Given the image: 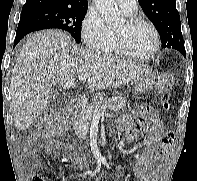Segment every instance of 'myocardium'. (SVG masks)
Here are the masks:
<instances>
[{
  "mask_svg": "<svg viewBox=\"0 0 197 181\" xmlns=\"http://www.w3.org/2000/svg\"><path fill=\"white\" fill-rule=\"evenodd\" d=\"M125 21H126L128 26H134V25H137V24L147 25L152 30V32L154 34L155 45H154L153 50L149 54H146V55L136 54L128 48V46H127L124 38L122 37V35L115 31L114 32V39H115V44L117 46L118 51L122 55H124L128 58H131V59H135V60L146 61V60L153 59L158 54V52L160 50V47H161L160 34H159L156 26L151 21H149L148 19L140 17V16H136V15L128 16L125 19Z\"/></svg>",
  "mask_w": 197,
  "mask_h": 181,
  "instance_id": "f54148a6",
  "label": "myocardium"
}]
</instances>
